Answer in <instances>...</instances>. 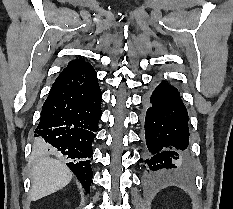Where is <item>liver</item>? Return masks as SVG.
I'll return each instance as SVG.
<instances>
[{
	"instance_id": "1",
	"label": "liver",
	"mask_w": 233,
	"mask_h": 209,
	"mask_svg": "<svg viewBox=\"0 0 233 209\" xmlns=\"http://www.w3.org/2000/svg\"><path fill=\"white\" fill-rule=\"evenodd\" d=\"M72 177V172L58 160L50 157L36 159L31 169V200L36 201L57 192L69 184Z\"/></svg>"
}]
</instances>
